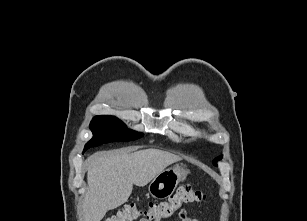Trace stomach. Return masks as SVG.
<instances>
[{"instance_id":"stomach-1","label":"stomach","mask_w":307,"mask_h":221,"mask_svg":"<svg viewBox=\"0 0 307 221\" xmlns=\"http://www.w3.org/2000/svg\"><path fill=\"white\" fill-rule=\"evenodd\" d=\"M189 173L184 167L175 165L157 174L148 186L149 194L158 199L170 197L179 182L185 180Z\"/></svg>"}]
</instances>
